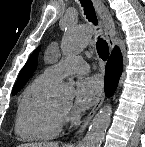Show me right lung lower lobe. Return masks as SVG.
<instances>
[{"label":"right lung lower lobe","mask_w":145,"mask_h":147,"mask_svg":"<svg viewBox=\"0 0 145 147\" xmlns=\"http://www.w3.org/2000/svg\"><path fill=\"white\" fill-rule=\"evenodd\" d=\"M123 69V59L120 49L115 47L107 64L105 72V93L111 96L118 85L119 78Z\"/></svg>","instance_id":"1"}]
</instances>
